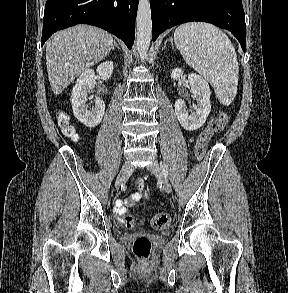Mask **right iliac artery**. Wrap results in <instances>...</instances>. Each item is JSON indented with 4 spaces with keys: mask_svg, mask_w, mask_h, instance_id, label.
Segmentation results:
<instances>
[{
    "mask_svg": "<svg viewBox=\"0 0 288 293\" xmlns=\"http://www.w3.org/2000/svg\"><path fill=\"white\" fill-rule=\"evenodd\" d=\"M124 163H125V164H128V163H129V160H128V159H125V160H124Z\"/></svg>",
    "mask_w": 288,
    "mask_h": 293,
    "instance_id": "obj_1",
    "label": "right iliac artery"
}]
</instances>
